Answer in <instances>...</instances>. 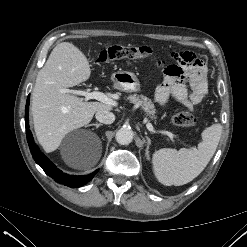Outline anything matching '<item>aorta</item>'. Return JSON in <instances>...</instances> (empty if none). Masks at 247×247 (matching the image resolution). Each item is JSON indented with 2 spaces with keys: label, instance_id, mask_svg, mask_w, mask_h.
<instances>
[{
  "label": "aorta",
  "instance_id": "aorta-1",
  "mask_svg": "<svg viewBox=\"0 0 247 247\" xmlns=\"http://www.w3.org/2000/svg\"><path fill=\"white\" fill-rule=\"evenodd\" d=\"M134 133L130 128L124 127L116 132L115 139L121 145H128L133 140Z\"/></svg>",
  "mask_w": 247,
  "mask_h": 247
}]
</instances>
